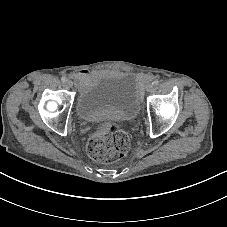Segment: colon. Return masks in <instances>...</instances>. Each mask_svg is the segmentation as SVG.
I'll use <instances>...</instances> for the list:
<instances>
[{
  "instance_id": "1",
  "label": "colon",
  "mask_w": 227,
  "mask_h": 227,
  "mask_svg": "<svg viewBox=\"0 0 227 227\" xmlns=\"http://www.w3.org/2000/svg\"><path fill=\"white\" fill-rule=\"evenodd\" d=\"M129 143L128 134L120 127L101 125L90 134L87 151L98 162L112 163L125 155Z\"/></svg>"
}]
</instances>
